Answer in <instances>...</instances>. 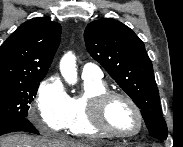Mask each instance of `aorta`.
I'll use <instances>...</instances> for the list:
<instances>
[{
	"mask_svg": "<svg viewBox=\"0 0 183 147\" xmlns=\"http://www.w3.org/2000/svg\"><path fill=\"white\" fill-rule=\"evenodd\" d=\"M60 72L68 84L74 85L77 82L76 57L71 52L66 53L62 57Z\"/></svg>",
	"mask_w": 183,
	"mask_h": 147,
	"instance_id": "aorta-1",
	"label": "aorta"
}]
</instances>
